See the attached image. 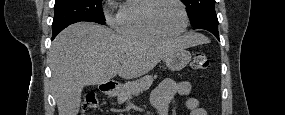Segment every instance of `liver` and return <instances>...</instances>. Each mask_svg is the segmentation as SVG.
Listing matches in <instances>:
<instances>
[{
	"mask_svg": "<svg viewBox=\"0 0 285 115\" xmlns=\"http://www.w3.org/2000/svg\"><path fill=\"white\" fill-rule=\"evenodd\" d=\"M205 42L193 32L154 40L118 35L89 22L72 24L54 39L49 52L59 115L78 114L86 85L104 84L116 75L124 79L140 77L175 51Z\"/></svg>",
	"mask_w": 285,
	"mask_h": 115,
	"instance_id": "liver-1",
	"label": "liver"
}]
</instances>
